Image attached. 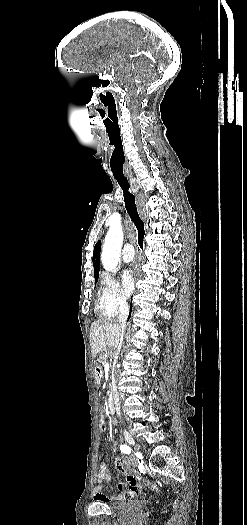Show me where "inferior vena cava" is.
<instances>
[{"label":"inferior vena cava","instance_id":"inferior-vena-cava-1","mask_svg":"<svg viewBox=\"0 0 247 525\" xmlns=\"http://www.w3.org/2000/svg\"><path fill=\"white\" fill-rule=\"evenodd\" d=\"M128 315H129V305L128 303H126V301H121L120 305H119V317H118V325H120L121 329H122V337L120 339V341H118L117 343V349H116V359H118V355H120V351H121V347L123 345V335H124V331L126 329V321L128 319ZM114 375V379H115V371L113 373ZM115 393H117V391H115Z\"/></svg>","mask_w":247,"mask_h":525}]
</instances>
